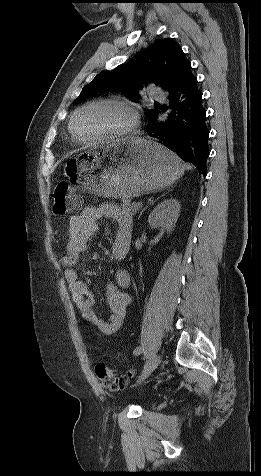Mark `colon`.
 Listing matches in <instances>:
<instances>
[{
  "mask_svg": "<svg viewBox=\"0 0 261 476\" xmlns=\"http://www.w3.org/2000/svg\"><path fill=\"white\" fill-rule=\"evenodd\" d=\"M79 199L67 182L56 185L53 193V211L57 215H66L79 208ZM95 374L100 383L112 391L123 389L127 378L118 376L106 363L99 361L95 365Z\"/></svg>",
  "mask_w": 261,
  "mask_h": 476,
  "instance_id": "colon-1",
  "label": "colon"
}]
</instances>
